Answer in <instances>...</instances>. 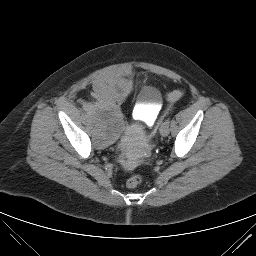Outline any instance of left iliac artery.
<instances>
[{
	"instance_id": "obj_1",
	"label": "left iliac artery",
	"mask_w": 256,
	"mask_h": 256,
	"mask_svg": "<svg viewBox=\"0 0 256 256\" xmlns=\"http://www.w3.org/2000/svg\"><path fill=\"white\" fill-rule=\"evenodd\" d=\"M166 122L170 123V119L168 118V119L166 120Z\"/></svg>"
}]
</instances>
